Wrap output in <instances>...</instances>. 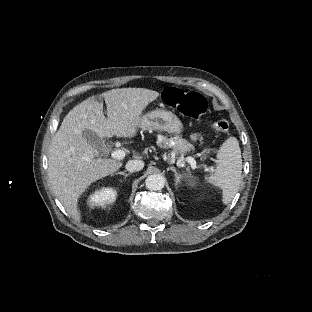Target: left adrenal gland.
I'll use <instances>...</instances> for the list:
<instances>
[{
  "label": "left adrenal gland",
  "instance_id": "obj_1",
  "mask_svg": "<svg viewBox=\"0 0 312 312\" xmlns=\"http://www.w3.org/2000/svg\"><path fill=\"white\" fill-rule=\"evenodd\" d=\"M176 176V185L181 186V175L174 169V167L169 168Z\"/></svg>",
  "mask_w": 312,
  "mask_h": 312
}]
</instances>
